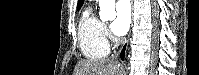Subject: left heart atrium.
I'll use <instances>...</instances> for the list:
<instances>
[{
  "label": "left heart atrium",
  "mask_w": 199,
  "mask_h": 75,
  "mask_svg": "<svg viewBox=\"0 0 199 75\" xmlns=\"http://www.w3.org/2000/svg\"><path fill=\"white\" fill-rule=\"evenodd\" d=\"M131 24V7L129 1H119L116 4V18L112 23V31L117 36L127 33Z\"/></svg>",
  "instance_id": "39dd6f15"
}]
</instances>
